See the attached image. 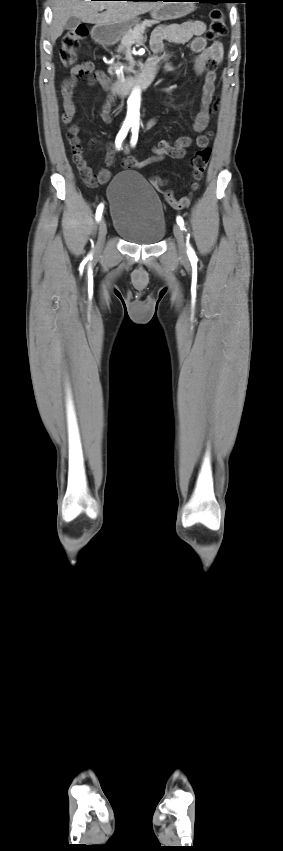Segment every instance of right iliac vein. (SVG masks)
Returning <instances> with one entry per match:
<instances>
[{"label": "right iliac vein", "mask_w": 283, "mask_h": 851, "mask_svg": "<svg viewBox=\"0 0 283 851\" xmlns=\"http://www.w3.org/2000/svg\"><path fill=\"white\" fill-rule=\"evenodd\" d=\"M106 234H107V224H106L104 218H102L99 222L98 243H97V250L98 251H101V249H102Z\"/></svg>", "instance_id": "1"}]
</instances>
